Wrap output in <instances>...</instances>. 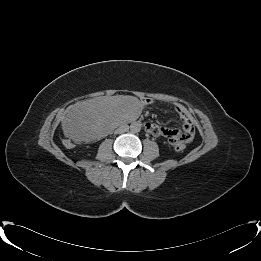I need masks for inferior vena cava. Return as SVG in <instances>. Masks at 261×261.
Returning a JSON list of instances; mask_svg holds the SVG:
<instances>
[{"label":"inferior vena cava","instance_id":"602c4592","mask_svg":"<svg viewBox=\"0 0 261 261\" xmlns=\"http://www.w3.org/2000/svg\"><path fill=\"white\" fill-rule=\"evenodd\" d=\"M124 127H125L126 129H128V125H125Z\"/></svg>","mask_w":261,"mask_h":261}]
</instances>
